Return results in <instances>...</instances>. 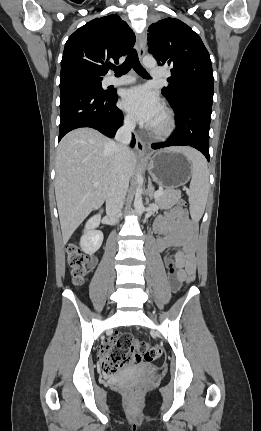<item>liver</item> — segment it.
<instances>
[{"label":"liver","instance_id":"6515ba94","mask_svg":"<svg viewBox=\"0 0 261 431\" xmlns=\"http://www.w3.org/2000/svg\"><path fill=\"white\" fill-rule=\"evenodd\" d=\"M115 146V142L91 128L73 130L60 141L55 194L63 244L92 210L104 203L114 178ZM135 166L136 156L130 151L125 160L129 179ZM95 182L98 187L93 186Z\"/></svg>","mask_w":261,"mask_h":431}]
</instances>
